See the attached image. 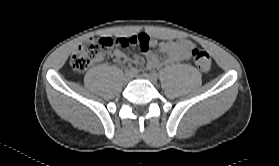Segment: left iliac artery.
<instances>
[{
    "label": "left iliac artery",
    "mask_w": 279,
    "mask_h": 166,
    "mask_svg": "<svg viewBox=\"0 0 279 166\" xmlns=\"http://www.w3.org/2000/svg\"><path fill=\"white\" fill-rule=\"evenodd\" d=\"M151 74L154 75V76H156V77H158V74H157V72H155V71H153Z\"/></svg>",
    "instance_id": "44dca946"
}]
</instances>
